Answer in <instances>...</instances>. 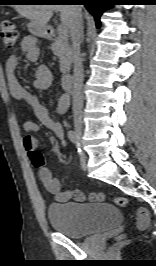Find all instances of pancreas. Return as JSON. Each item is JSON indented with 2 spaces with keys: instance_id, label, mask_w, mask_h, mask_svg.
<instances>
[{
  "instance_id": "1",
  "label": "pancreas",
  "mask_w": 156,
  "mask_h": 266,
  "mask_svg": "<svg viewBox=\"0 0 156 266\" xmlns=\"http://www.w3.org/2000/svg\"><path fill=\"white\" fill-rule=\"evenodd\" d=\"M51 50L59 58L61 73L65 74L69 72L73 53L71 47L69 46L67 37H56L51 44Z\"/></svg>"
}]
</instances>
